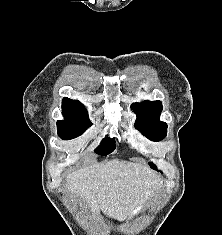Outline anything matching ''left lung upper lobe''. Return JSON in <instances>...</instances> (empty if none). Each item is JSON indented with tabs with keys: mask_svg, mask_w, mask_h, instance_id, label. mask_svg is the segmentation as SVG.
I'll list each match as a JSON object with an SVG mask.
<instances>
[{
	"mask_svg": "<svg viewBox=\"0 0 222 235\" xmlns=\"http://www.w3.org/2000/svg\"><path fill=\"white\" fill-rule=\"evenodd\" d=\"M132 110L138 118L135 127L152 141L162 140L167 133V124L159 120L162 103L161 101H144L131 105ZM151 168L157 170V167L150 163Z\"/></svg>",
	"mask_w": 222,
	"mask_h": 235,
	"instance_id": "5c2ea615",
	"label": "left lung upper lobe"
}]
</instances>
